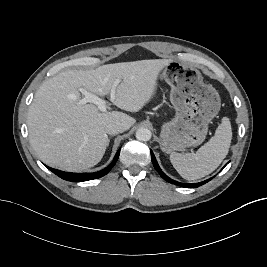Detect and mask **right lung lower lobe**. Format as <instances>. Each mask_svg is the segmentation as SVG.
I'll return each instance as SVG.
<instances>
[{
	"mask_svg": "<svg viewBox=\"0 0 267 267\" xmlns=\"http://www.w3.org/2000/svg\"><path fill=\"white\" fill-rule=\"evenodd\" d=\"M119 154H120V149L117 151L112 163L108 167L95 173H83V174L69 173V172H63L57 169H53L50 167H47V168H49L54 174H56L57 176H59L60 178L64 180L73 181V182H83V181L97 179V178H100L106 175L115 165L116 161L119 158Z\"/></svg>",
	"mask_w": 267,
	"mask_h": 267,
	"instance_id": "98d812e1",
	"label": "right lung lower lobe"
}]
</instances>
